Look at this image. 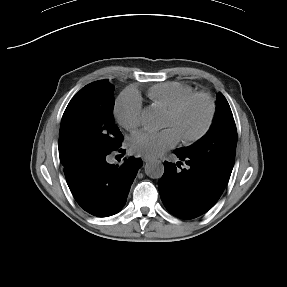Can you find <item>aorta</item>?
Masks as SVG:
<instances>
[{"mask_svg": "<svg viewBox=\"0 0 287 287\" xmlns=\"http://www.w3.org/2000/svg\"><path fill=\"white\" fill-rule=\"evenodd\" d=\"M145 173L152 179H159L164 174V165L159 160H154L146 163Z\"/></svg>", "mask_w": 287, "mask_h": 287, "instance_id": "obj_1", "label": "aorta"}]
</instances>
